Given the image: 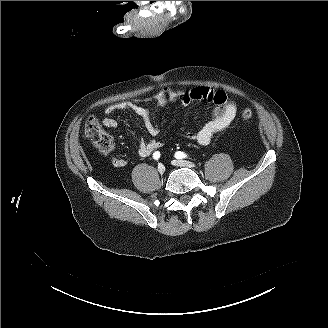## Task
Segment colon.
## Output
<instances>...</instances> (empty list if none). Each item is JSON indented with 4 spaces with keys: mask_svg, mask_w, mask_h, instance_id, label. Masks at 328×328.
<instances>
[{
    "mask_svg": "<svg viewBox=\"0 0 328 328\" xmlns=\"http://www.w3.org/2000/svg\"><path fill=\"white\" fill-rule=\"evenodd\" d=\"M241 116L245 120H249L253 117V112L249 108H245L241 112ZM85 134L90 138L94 145L101 152H108L112 149L113 140L112 137L106 133L99 124V121L95 117H89L85 124Z\"/></svg>",
    "mask_w": 328,
    "mask_h": 328,
    "instance_id": "obj_1",
    "label": "colon"
}]
</instances>
